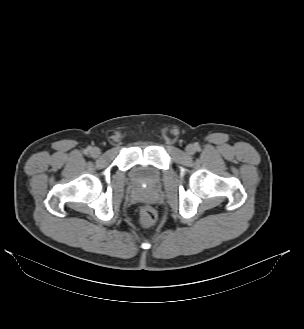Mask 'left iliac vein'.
Here are the masks:
<instances>
[{
	"label": "left iliac vein",
	"instance_id": "4c4485c4",
	"mask_svg": "<svg viewBox=\"0 0 304 329\" xmlns=\"http://www.w3.org/2000/svg\"><path fill=\"white\" fill-rule=\"evenodd\" d=\"M186 152H187V154H189V155H193L194 153H195V147L193 146V145H188L187 147H186Z\"/></svg>",
	"mask_w": 304,
	"mask_h": 329
}]
</instances>
